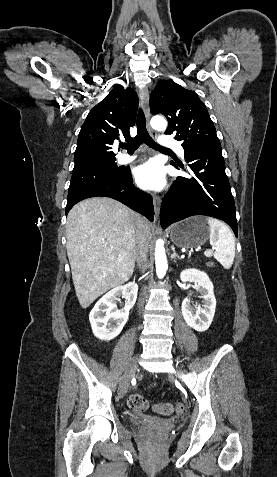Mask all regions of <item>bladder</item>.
<instances>
[{"label": "bladder", "mask_w": 277, "mask_h": 477, "mask_svg": "<svg viewBox=\"0 0 277 477\" xmlns=\"http://www.w3.org/2000/svg\"><path fill=\"white\" fill-rule=\"evenodd\" d=\"M143 422L142 419H135L134 420V424L138 425V424H141Z\"/></svg>", "instance_id": "1"}]
</instances>
